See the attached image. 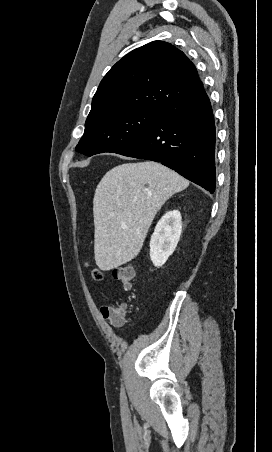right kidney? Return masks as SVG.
<instances>
[{
    "mask_svg": "<svg viewBox=\"0 0 272 452\" xmlns=\"http://www.w3.org/2000/svg\"><path fill=\"white\" fill-rule=\"evenodd\" d=\"M182 232L181 213L167 212L157 223L150 240V258L154 266L161 267L174 252Z\"/></svg>",
    "mask_w": 272,
    "mask_h": 452,
    "instance_id": "ca27d5eb",
    "label": "right kidney"
}]
</instances>
